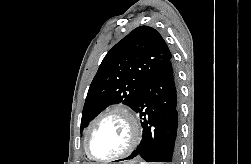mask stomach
Returning <instances> with one entry per match:
<instances>
[{
    "label": "stomach",
    "mask_w": 251,
    "mask_h": 164,
    "mask_svg": "<svg viewBox=\"0 0 251 164\" xmlns=\"http://www.w3.org/2000/svg\"><path fill=\"white\" fill-rule=\"evenodd\" d=\"M117 164H121V163H117ZM122 164H125V163H122ZM132 164H142V163H136V161Z\"/></svg>",
    "instance_id": "stomach-1"
}]
</instances>
